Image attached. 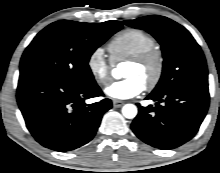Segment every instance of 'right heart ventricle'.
Listing matches in <instances>:
<instances>
[{
	"label": "right heart ventricle",
	"mask_w": 220,
	"mask_h": 173,
	"mask_svg": "<svg viewBox=\"0 0 220 173\" xmlns=\"http://www.w3.org/2000/svg\"><path fill=\"white\" fill-rule=\"evenodd\" d=\"M154 48H156L155 39L150 34L134 28L121 31L108 44L113 63L128 60Z\"/></svg>",
	"instance_id": "right-heart-ventricle-1"
}]
</instances>
